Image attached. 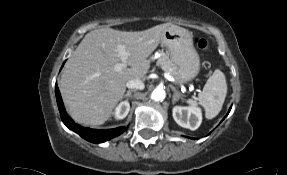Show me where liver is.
I'll return each instance as SVG.
<instances>
[{
    "label": "liver",
    "mask_w": 287,
    "mask_h": 175,
    "mask_svg": "<svg viewBox=\"0 0 287 175\" xmlns=\"http://www.w3.org/2000/svg\"><path fill=\"white\" fill-rule=\"evenodd\" d=\"M164 23L144 31H119L100 28L85 35L68 59L59 82L65 106L78 123L98 126L107 121L122 100L126 83L144 80L150 69L147 59L161 42ZM123 46L129 68L116 70Z\"/></svg>",
    "instance_id": "obj_1"
}]
</instances>
